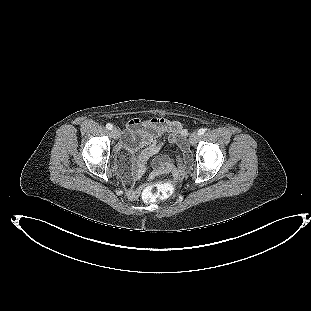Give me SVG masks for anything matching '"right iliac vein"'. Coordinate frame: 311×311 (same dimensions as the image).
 <instances>
[{
	"label": "right iliac vein",
	"mask_w": 311,
	"mask_h": 311,
	"mask_svg": "<svg viewBox=\"0 0 311 311\" xmlns=\"http://www.w3.org/2000/svg\"><path fill=\"white\" fill-rule=\"evenodd\" d=\"M111 135L115 140H117L120 136V132L116 127H114L111 129Z\"/></svg>",
	"instance_id": "obj_1"
}]
</instances>
